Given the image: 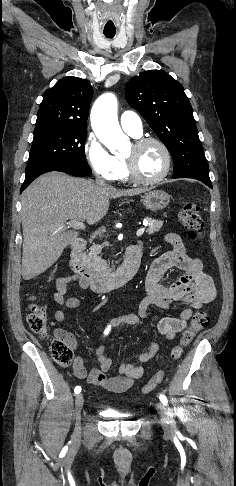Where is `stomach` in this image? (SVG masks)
I'll return each instance as SVG.
<instances>
[{
	"label": "stomach",
	"mask_w": 236,
	"mask_h": 486,
	"mask_svg": "<svg viewBox=\"0 0 236 486\" xmlns=\"http://www.w3.org/2000/svg\"><path fill=\"white\" fill-rule=\"evenodd\" d=\"M143 205L151 211H159L170 203V195L162 190H152L142 196Z\"/></svg>",
	"instance_id": "obj_1"
}]
</instances>
